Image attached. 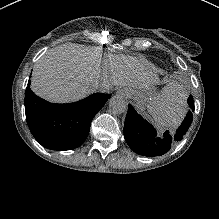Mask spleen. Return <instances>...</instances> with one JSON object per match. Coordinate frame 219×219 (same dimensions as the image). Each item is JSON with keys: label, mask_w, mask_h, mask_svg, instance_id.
<instances>
[{"label": "spleen", "mask_w": 219, "mask_h": 219, "mask_svg": "<svg viewBox=\"0 0 219 219\" xmlns=\"http://www.w3.org/2000/svg\"><path fill=\"white\" fill-rule=\"evenodd\" d=\"M182 115L181 107H163L153 110L150 119L156 127L173 129Z\"/></svg>", "instance_id": "3e777b00"}]
</instances>
